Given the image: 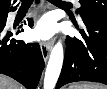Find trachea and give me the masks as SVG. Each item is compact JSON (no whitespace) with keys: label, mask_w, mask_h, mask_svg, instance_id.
Masks as SVG:
<instances>
[{"label":"trachea","mask_w":107,"mask_h":89,"mask_svg":"<svg viewBox=\"0 0 107 89\" xmlns=\"http://www.w3.org/2000/svg\"><path fill=\"white\" fill-rule=\"evenodd\" d=\"M48 1L54 5L70 6L69 3L61 0H48ZM21 2H22V5H27V4H31L33 0H21Z\"/></svg>","instance_id":"obj_1"}]
</instances>
